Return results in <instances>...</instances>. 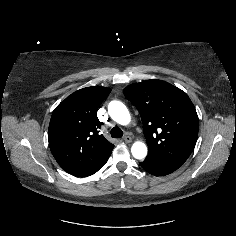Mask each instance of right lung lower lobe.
I'll use <instances>...</instances> for the list:
<instances>
[{"mask_svg": "<svg viewBox=\"0 0 236 236\" xmlns=\"http://www.w3.org/2000/svg\"><path fill=\"white\" fill-rule=\"evenodd\" d=\"M108 158H109V157H108ZM108 158L105 159V160L91 173V175L94 174V173H96L102 166H104V164L107 162Z\"/></svg>", "mask_w": 236, "mask_h": 236, "instance_id": "right-lung-lower-lobe-1", "label": "right lung lower lobe"}]
</instances>
